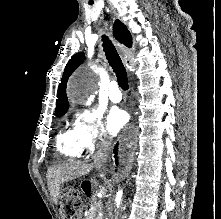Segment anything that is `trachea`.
Masks as SVG:
<instances>
[{
	"instance_id": "3493384b",
	"label": "trachea",
	"mask_w": 221,
	"mask_h": 219,
	"mask_svg": "<svg viewBox=\"0 0 221 219\" xmlns=\"http://www.w3.org/2000/svg\"><path fill=\"white\" fill-rule=\"evenodd\" d=\"M102 40H103L104 52L106 54L110 66L112 67L113 71L117 76L119 86L123 90H128L129 85H128L127 72L122 64V61L115 47L112 45L111 41L106 36L103 35Z\"/></svg>"
}]
</instances>
